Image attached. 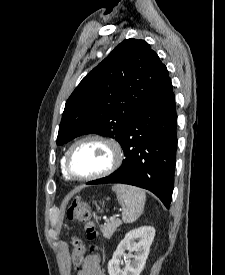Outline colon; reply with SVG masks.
Returning <instances> with one entry per match:
<instances>
[{"label":"colon","instance_id":"5ec220e1","mask_svg":"<svg viewBox=\"0 0 225 275\" xmlns=\"http://www.w3.org/2000/svg\"><path fill=\"white\" fill-rule=\"evenodd\" d=\"M67 220H77L84 225V230L86 237L89 240H94L97 238V229L95 218L89 209L88 205L81 200L74 199L70 202L66 210ZM73 252H72V262L73 265L79 267L83 260L84 248L82 245V240L78 237H74L72 240ZM96 251V246L92 245L88 252L92 254Z\"/></svg>","mask_w":225,"mask_h":275}]
</instances>
